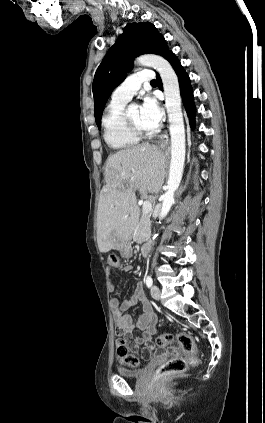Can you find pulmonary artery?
<instances>
[{"label":"pulmonary artery","instance_id":"obj_1","mask_svg":"<svg viewBox=\"0 0 265 423\" xmlns=\"http://www.w3.org/2000/svg\"><path fill=\"white\" fill-rule=\"evenodd\" d=\"M153 79L154 74L152 70H140L128 77L114 90L112 99L128 102L137 93L143 83L151 82Z\"/></svg>","mask_w":265,"mask_h":423}]
</instances>
